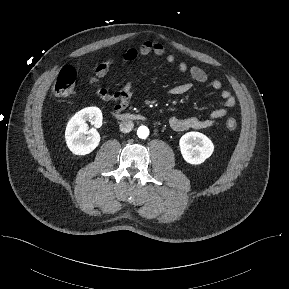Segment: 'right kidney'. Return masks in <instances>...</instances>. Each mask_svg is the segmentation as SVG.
<instances>
[{"instance_id": "right-kidney-1", "label": "right kidney", "mask_w": 289, "mask_h": 289, "mask_svg": "<svg viewBox=\"0 0 289 289\" xmlns=\"http://www.w3.org/2000/svg\"><path fill=\"white\" fill-rule=\"evenodd\" d=\"M102 112L97 107H87L78 111L68 122L65 139L68 148L75 155L91 153L100 142V134L94 128L88 130L87 121L96 128L102 125Z\"/></svg>"}]
</instances>
